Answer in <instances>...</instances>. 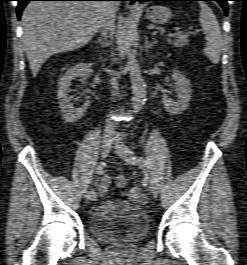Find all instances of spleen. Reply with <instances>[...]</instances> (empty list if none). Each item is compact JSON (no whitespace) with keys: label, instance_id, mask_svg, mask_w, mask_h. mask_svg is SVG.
<instances>
[{"label":"spleen","instance_id":"3e777b00","mask_svg":"<svg viewBox=\"0 0 247 265\" xmlns=\"http://www.w3.org/2000/svg\"><path fill=\"white\" fill-rule=\"evenodd\" d=\"M199 5V21L206 37L203 51L212 63L218 64L223 46L220 26L210 7L205 2H199Z\"/></svg>","mask_w":247,"mask_h":265}]
</instances>
